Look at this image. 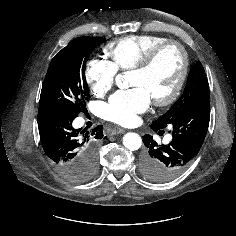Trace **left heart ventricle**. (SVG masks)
Instances as JSON below:
<instances>
[{"instance_id": "obj_1", "label": "left heart ventricle", "mask_w": 236, "mask_h": 236, "mask_svg": "<svg viewBox=\"0 0 236 236\" xmlns=\"http://www.w3.org/2000/svg\"><path fill=\"white\" fill-rule=\"evenodd\" d=\"M182 66L180 51L168 47L162 51L150 69L144 72L132 71L131 86H141L150 94L151 98H163L174 87Z\"/></svg>"}]
</instances>
